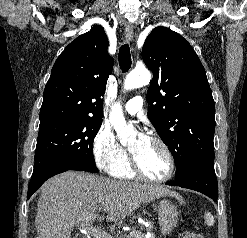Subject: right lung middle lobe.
<instances>
[{"label": "right lung middle lobe", "instance_id": "dd1d6c3e", "mask_svg": "<svg viewBox=\"0 0 247 238\" xmlns=\"http://www.w3.org/2000/svg\"><path fill=\"white\" fill-rule=\"evenodd\" d=\"M101 124L102 119L87 118L40 125L31 181L55 166L97 172L93 141Z\"/></svg>", "mask_w": 247, "mask_h": 238}]
</instances>
